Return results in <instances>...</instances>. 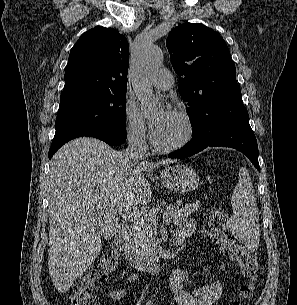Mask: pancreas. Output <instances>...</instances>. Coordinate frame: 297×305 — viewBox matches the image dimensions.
<instances>
[{
    "label": "pancreas",
    "instance_id": "pancreas-1",
    "mask_svg": "<svg viewBox=\"0 0 297 305\" xmlns=\"http://www.w3.org/2000/svg\"><path fill=\"white\" fill-rule=\"evenodd\" d=\"M197 210V205L187 204L185 206H169L167 219L174 225H179L188 220V217ZM151 215L143 216L133 221L132 235L136 250L146 258H154L160 240L155 237L157 233V213L150 210ZM147 213V214H148Z\"/></svg>",
    "mask_w": 297,
    "mask_h": 305
}]
</instances>
